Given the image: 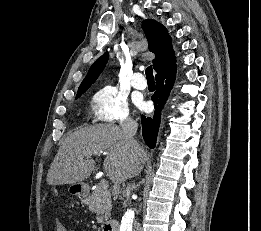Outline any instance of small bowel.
Wrapping results in <instances>:
<instances>
[{"label":"small bowel","instance_id":"obj_1","mask_svg":"<svg viewBox=\"0 0 261 231\" xmlns=\"http://www.w3.org/2000/svg\"><path fill=\"white\" fill-rule=\"evenodd\" d=\"M57 231H68L67 227L59 220L56 222Z\"/></svg>","mask_w":261,"mask_h":231}]
</instances>
